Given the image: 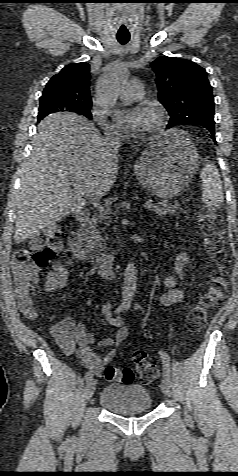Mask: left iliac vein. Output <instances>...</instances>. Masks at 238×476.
I'll return each instance as SVG.
<instances>
[{"label": "left iliac vein", "instance_id": "obj_1", "mask_svg": "<svg viewBox=\"0 0 238 476\" xmlns=\"http://www.w3.org/2000/svg\"><path fill=\"white\" fill-rule=\"evenodd\" d=\"M161 390L165 396L171 397V384L166 379L161 382Z\"/></svg>", "mask_w": 238, "mask_h": 476}]
</instances>
